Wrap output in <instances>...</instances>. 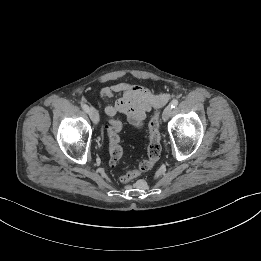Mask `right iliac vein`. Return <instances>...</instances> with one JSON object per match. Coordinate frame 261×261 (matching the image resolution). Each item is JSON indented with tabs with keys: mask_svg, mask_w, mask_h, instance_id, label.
<instances>
[{
	"mask_svg": "<svg viewBox=\"0 0 261 261\" xmlns=\"http://www.w3.org/2000/svg\"><path fill=\"white\" fill-rule=\"evenodd\" d=\"M89 116L93 123L97 124L99 122V114L94 107L89 108Z\"/></svg>",
	"mask_w": 261,
	"mask_h": 261,
	"instance_id": "63e3f726",
	"label": "right iliac vein"
}]
</instances>
